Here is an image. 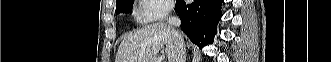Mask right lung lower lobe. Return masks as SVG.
<instances>
[{"label":"right lung lower lobe","mask_w":331,"mask_h":62,"mask_svg":"<svg viewBox=\"0 0 331 62\" xmlns=\"http://www.w3.org/2000/svg\"><path fill=\"white\" fill-rule=\"evenodd\" d=\"M223 0H194L186 4L184 0H177L175 10L181 19V29L189 39L203 47L213 42L216 26L221 19V5Z\"/></svg>","instance_id":"obj_1"}]
</instances>
